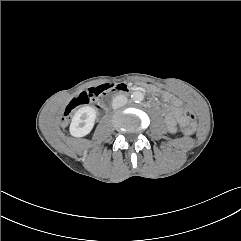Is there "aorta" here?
Listing matches in <instances>:
<instances>
[{
	"label": "aorta",
	"instance_id": "1",
	"mask_svg": "<svg viewBox=\"0 0 241 241\" xmlns=\"http://www.w3.org/2000/svg\"><path fill=\"white\" fill-rule=\"evenodd\" d=\"M131 98L134 102H141L144 99V95L142 92L140 91H135L133 92V94L131 95Z\"/></svg>",
	"mask_w": 241,
	"mask_h": 241
}]
</instances>
